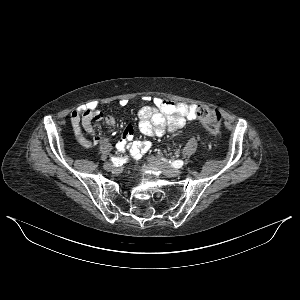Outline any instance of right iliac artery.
I'll use <instances>...</instances> for the list:
<instances>
[{"label": "right iliac artery", "instance_id": "1", "mask_svg": "<svg viewBox=\"0 0 300 300\" xmlns=\"http://www.w3.org/2000/svg\"><path fill=\"white\" fill-rule=\"evenodd\" d=\"M117 149H118V145H117ZM127 160H128L127 157H125V158L111 157V161H112V162L114 163V165H116V166L123 165Z\"/></svg>", "mask_w": 300, "mask_h": 300}]
</instances>
